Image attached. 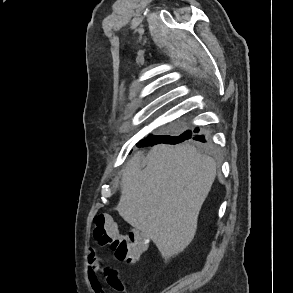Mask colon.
<instances>
[{
    "mask_svg": "<svg viewBox=\"0 0 293 293\" xmlns=\"http://www.w3.org/2000/svg\"><path fill=\"white\" fill-rule=\"evenodd\" d=\"M93 225L94 239L101 245L109 246L119 260L135 263L147 248L148 239L141 231L131 229L122 233L106 213H96Z\"/></svg>",
    "mask_w": 293,
    "mask_h": 293,
    "instance_id": "5ec220e1",
    "label": "colon"
}]
</instances>
